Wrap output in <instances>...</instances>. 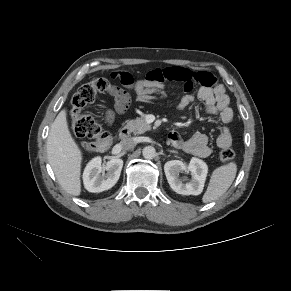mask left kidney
<instances>
[{
    "mask_svg": "<svg viewBox=\"0 0 291 291\" xmlns=\"http://www.w3.org/2000/svg\"><path fill=\"white\" fill-rule=\"evenodd\" d=\"M182 171L191 173L192 178L190 181L183 182L179 177V173ZM164 172L170 187L176 193L199 195L203 191L208 167L205 162L198 158H192L188 166H185L182 161L172 160L165 163Z\"/></svg>",
    "mask_w": 291,
    "mask_h": 291,
    "instance_id": "5707ae66",
    "label": "left kidney"
}]
</instances>
